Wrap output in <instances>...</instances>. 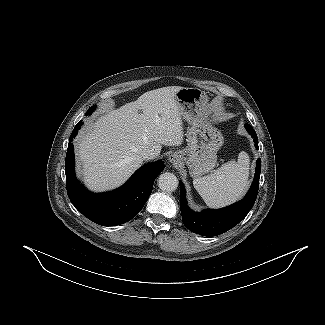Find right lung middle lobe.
Wrapping results in <instances>:
<instances>
[{
  "mask_svg": "<svg viewBox=\"0 0 325 325\" xmlns=\"http://www.w3.org/2000/svg\"><path fill=\"white\" fill-rule=\"evenodd\" d=\"M95 107H91L89 108L88 112H87V115L91 114L93 111H94Z\"/></svg>",
  "mask_w": 325,
  "mask_h": 325,
  "instance_id": "dd1d6c3e",
  "label": "right lung middle lobe"
}]
</instances>
